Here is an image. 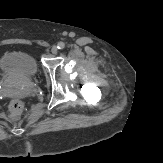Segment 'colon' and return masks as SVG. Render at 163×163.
Segmentation results:
<instances>
[{"instance_id": "colon-1", "label": "colon", "mask_w": 163, "mask_h": 163, "mask_svg": "<svg viewBox=\"0 0 163 163\" xmlns=\"http://www.w3.org/2000/svg\"><path fill=\"white\" fill-rule=\"evenodd\" d=\"M10 109L13 114L19 115L23 110V104L19 100H13L10 104Z\"/></svg>"}]
</instances>
